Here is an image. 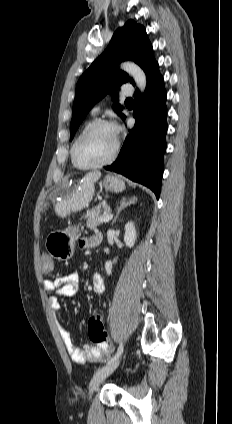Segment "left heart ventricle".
Masks as SVG:
<instances>
[{"mask_svg":"<svg viewBox=\"0 0 232 424\" xmlns=\"http://www.w3.org/2000/svg\"><path fill=\"white\" fill-rule=\"evenodd\" d=\"M116 132L100 127L91 132L78 147V159L83 164H93L107 158L115 146Z\"/></svg>","mask_w":232,"mask_h":424,"instance_id":"left-heart-ventricle-1","label":"left heart ventricle"}]
</instances>
